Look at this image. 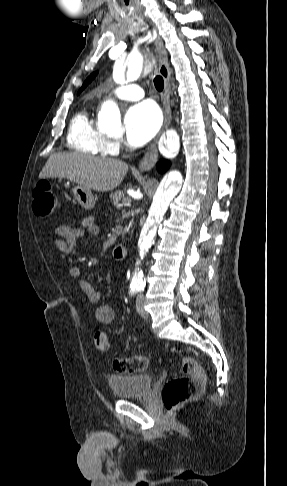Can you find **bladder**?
I'll return each mask as SVG.
<instances>
[{"label":"bladder","mask_w":287,"mask_h":486,"mask_svg":"<svg viewBox=\"0 0 287 486\" xmlns=\"http://www.w3.org/2000/svg\"><path fill=\"white\" fill-rule=\"evenodd\" d=\"M107 383L113 394L120 399L147 395L153 386L154 377L150 374L111 375Z\"/></svg>","instance_id":"31cf9c89"}]
</instances>
